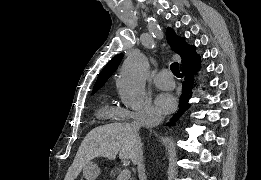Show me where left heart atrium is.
Listing matches in <instances>:
<instances>
[{
	"mask_svg": "<svg viewBox=\"0 0 261 180\" xmlns=\"http://www.w3.org/2000/svg\"><path fill=\"white\" fill-rule=\"evenodd\" d=\"M176 105L175 98L168 92H160L156 95L154 101V109L160 113L171 112Z\"/></svg>",
	"mask_w": 261,
	"mask_h": 180,
	"instance_id": "1",
	"label": "left heart atrium"
}]
</instances>
